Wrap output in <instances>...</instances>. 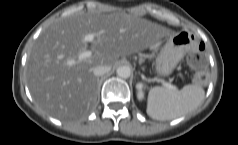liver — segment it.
I'll use <instances>...</instances> for the list:
<instances>
[{
  "instance_id": "obj_1",
  "label": "liver",
  "mask_w": 238,
  "mask_h": 145,
  "mask_svg": "<svg viewBox=\"0 0 238 145\" xmlns=\"http://www.w3.org/2000/svg\"><path fill=\"white\" fill-rule=\"evenodd\" d=\"M169 32L126 13L79 11L56 19L42 31L28 55L26 77L32 98L54 118L78 119L96 104L95 67H113L120 57L147 49ZM87 34L95 36L90 46L84 40ZM88 47L93 54L80 60ZM69 60L75 63L68 65Z\"/></svg>"
}]
</instances>
